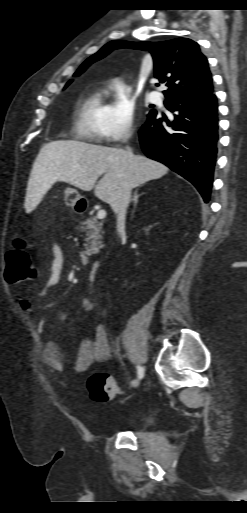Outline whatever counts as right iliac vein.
<instances>
[{"label": "right iliac vein", "mask_w": 247, "mask_h": 513, "mask_svg": "<svg viewBox=\"0 0 247 513\" xmlns=\"http://www.w3.org/2000/svg\"><path fill=\"white\" fill-rule=\"evenodd\" d=\"M132 386H133V387H136V386H137V382L133 383V385H132Z\"/></svg>", "instance_id": "1"}]
</instances>
